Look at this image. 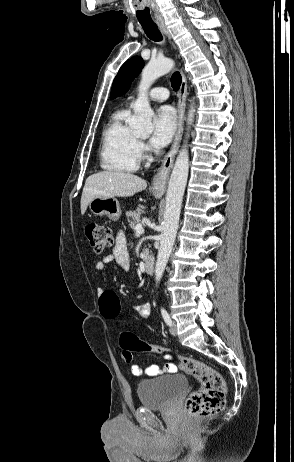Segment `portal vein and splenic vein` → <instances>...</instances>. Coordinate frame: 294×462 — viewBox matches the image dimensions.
Wrapping results in <instances>:
<instances>
[{
    "mask_svg": "<svg viewBox=\"0 0 294 462\" xmlns=\"http://www.w3.org/2000/svg\"><path fill=\"white\" fill-rule=\"evenodd\" d=\"M135 232H136V235H141V234L144 233V228H143L142 224H137L136 225Z\"/></svg>",
    "mask_w": 294,
    "mask_h": 462,
    "instance_id": "obj_1",
    "label": "portal vein and splenic vein"
}]
</instances>
